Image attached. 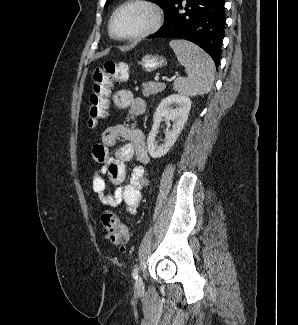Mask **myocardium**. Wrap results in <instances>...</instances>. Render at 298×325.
<instances>
[{
  "label": "myocardium",
  "instance_id": "f54148a6",
  "mask_svg": "<svg viewBox=\"0 0 298 325\" xmlns=\"http://www.w3.org/2000/svg\"><path fill=\"white\" fill-rule=\"evenodd\" d=\"M127 9H139V10L144 11L149 17V22L144 27V29L142 31H140L138 34H136L131 39L125 40V39H122V38L116 36L115 31H114V22H115L116 17L118 16V14L121 11L127 10ZM159 26H160V16H159L158 11L156 10V8L153 5L148 4L146 2H142V1H132V2H127L125 4H122L115 10V12L113 13V15L110 19L109 34L112 37V39H114L115 41H118V42L124 43V44H132V43L138 42L141 39L149 36L150 34L155 32Z\"/></svg>",
  "mask_w": 298,
  "mask_h": 325
}]
</instances>
